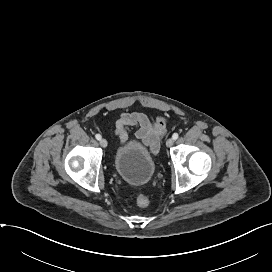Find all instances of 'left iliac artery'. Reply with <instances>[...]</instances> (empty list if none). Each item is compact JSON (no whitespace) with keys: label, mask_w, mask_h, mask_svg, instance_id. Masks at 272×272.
I'll use <instances>...</instances> for the list:
<instances>
[{"label":"left iliac artery","mask_w":272,"mask_h":272,"mask_svg":"<svg viewBox=\"0 0 272 272\" xmlns=\"http://www.w3.org/2000/svg\"><path fill=\"white\" fill-rule=\"evenodd\" d=\"M178 137H179L178 133H174V134L172 135V138H173L174 140H176Z\"/></svg>","instance_id":"44dca946"}]
</instances>
